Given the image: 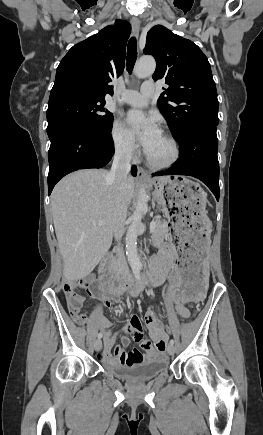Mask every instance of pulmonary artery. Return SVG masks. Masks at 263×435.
Masks as SVG:
<instances>
[{
  "mask_svg": "<svg viewBox=\"0 0 263 435\" xmlns=\"http://www.w3.org/2000/svg\"><path fill=\"white\" fill-rule=\"evenodd\" d=\"M153 93L154 84L145 82L142 84L140 91L128 90L124 92L122 102L133 107H145Z\"/></svg>",
  "mask_w": 263,
  "mask_h": 435,
  "instance_id": "obj_1",
  "label": "pulmonary artery"
}]
</instances>
